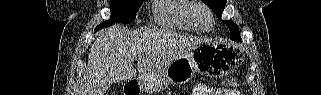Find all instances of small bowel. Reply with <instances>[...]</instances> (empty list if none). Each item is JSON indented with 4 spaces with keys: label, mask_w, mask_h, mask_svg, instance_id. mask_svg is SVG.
<instances>
[{
    "label": "small bowel",
    "mask_w": 321,
    "mask_h": 95,
    "mask_svg": "<svg viewBox=\"0 0 321 95\" xmlns=\"http://www.w3.org/2000/svg\"><path fill=\"white\" fill-rule=\"evenodd\" d=\"M196 94L197 95H236L237 93L229 92V91H222L219 89L207 90L203 86H198L196 89Z\"/></svg>",
    "instance_id": "small-bowel-1"
}]
</instances>
